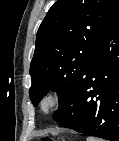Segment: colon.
<instances>
[{
    "label": "colon",
    "instance_id": "colon-1",
    "mask_svg": "<svg viewBox=\"0 0 119 141\" xmlns=\"http://www.w3.org/2000/svg\"><path fill=\"white\" fill-rule=\"evenodd\" d=\"M43 141H53L51 138H44Z\"/></svg>",
    "mask_w": 119,
    "mask_h": 141
}]
</instances>
